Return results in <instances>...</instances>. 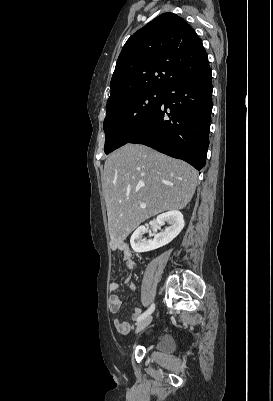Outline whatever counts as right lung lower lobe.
I'll list each match as a JSON object with an SVG mask.
<instances>
[{
  "mask_svg": "<svg viewBox=\"0 0 273 401\" xmlns=\"http://www.w3.org/2000/svg\"><path fill=\"white\" fill-rule=\"evenodd\" d=\"M212 105L207 62L183 73L163 90L159 107L128 143L147 145L200 170L206 163Z\"/></svg>",
  "mask_w": 273,
  "mask_h": 401,
  "instance_id": "right-lung-lower-lobe-1",
  "label": "right lung lower lobe"
}]
</instances>
